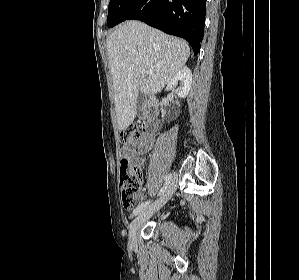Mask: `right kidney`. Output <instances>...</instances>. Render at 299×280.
Returning <instances> with one entry per match:
<instances>
[{"label": "right kidney", "instance_id": "ca27d5eb", "mask_svg": "<svg viewBox=\"0 0 299 280\" xmlns=\"http://www.w3.org/2000/svg\"><path fill=\"white\" fill-rule=\"evenodd\" d=\"M178 82H180L182 84V87L175 89ZM191 83H192L191 70L188 67H183L171 79V81L169 82V84L167 86V89L174 90L175 93L178 95V97L185 98L190 91Z\"/></svg>", "mask_w": 299, "mask_h": 280}]
</instances>
